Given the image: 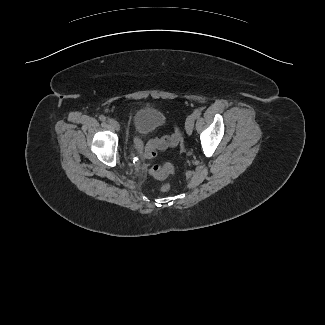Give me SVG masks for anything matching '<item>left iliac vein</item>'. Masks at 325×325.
Wrapping results in <instances>:
<instances>
[{
  "label": "left iliac vein",
  "mask_w": 325,
  "mask_h": 325,
  "mask_svg": "<svg viewBox=\"0 0 325 325\" xmlns=\"http://www.w3.org/2000/svg\"><path fill=\"white\" fill-rule=\"evenodd\" d=\"M195 117L193 114L189 115L185 122V128L188 135H191L194 128Z\"/></svg>",
  "instance_id": "obj_1"
}]
</instances>
